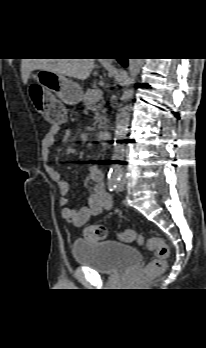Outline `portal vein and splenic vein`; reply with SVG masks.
I'll return each instance as SVG.
<instances>
[{
  "instance_id": "portal-vein-and-splenic-vein-1",
  "label": "portal vein and splenic vein",
  "mask_w": 206,
  "mask_h": 348,
  "mask_svg": "<svg viewBox=\"0 0 206 348\" xmlns=\"http://www.w3.org/2000/svg\"><path fill=\"white\" fill-rule=\"evenodd\" d=\"M102 94H103V92L101 89H99V88L93 89L91 100H93V101L100 100L102 97Z\"/></svg>"
}]
</instances>
